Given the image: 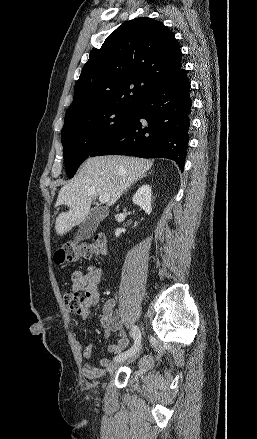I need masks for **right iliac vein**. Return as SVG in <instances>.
<instances>
[{
	"mask_svg": "<svg viewBox=\"0 0 257 439\" xmlns=\"http://www.w3.org/2000/svg\"><path fill=\"white\" fill-rule=\"evenodd\" d=\"M140 352H141V350H140V348H138V350L136 351V353H134L133 355H131L130 357H128V361H129V362L135 361V360L139 357ZM125 361H126V359H118V360H115V361H114L113 363H111V365L109 366L108 371H109V372L113 371L114 369H116L117 367H119V366H120L122 363H124Z\"/></svg>",
	"mask_w": 257,
	"mask_h": 439,
	"instance_id": "1",
	"label": "right iliac vein"
}]
</instances>
